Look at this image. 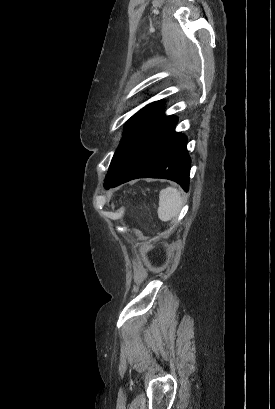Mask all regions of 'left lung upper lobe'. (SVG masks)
Wrapping results in <instances>:
<instances>
[{
  "label": "left lung upper lobe",
  "mask_w": 275,
  "mask_h": 409,
  "mask_svg": "<svg viewBox=\"0 0 275 409\" xmlns=\"http://www.w3.org/2000/svg\"><path fill=\"white\" fill-rule=\"evenodd\" d=\"M163 109L164 105L162 102H153L138 111L128 120L121 143L113 156L106 175L104 186L111 185L121 171L132 147L151 126L164 117Z\"/></svg>",
  "instance_id": "5c2ea615"
}]
</instances>
